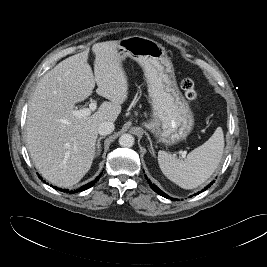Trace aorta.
<instances>
[{"mask_svg": "<svg viewBox=\"0 0 267 267\" xmlns=\"http://www.w3.org/2000/svg\"><path fill=\"white\" fill-rule=\"evenodd\" d=\"M119 144L122 147H132L134 145V137L131 134H122L119 138Z\"/></svg>", "mask_w": 267, "mask_h": 267, "instance_id": "aorta-1", "label": "aorta"}]
</instances>
